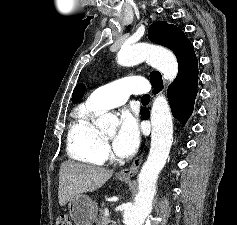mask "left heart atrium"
<instances>
[{"mask_svg":"<svg viewBox=\"0 0 237 225\" xmlns=\"http://www.w3.org/2000/svg\"><path fill=\"white\" fill-rule=\"evenodd\" d=\"M140 131L138 120L129 112H123L119 129L113 139L114 152L120 157H129L138 148Z\"/></svg>","mask_w":237,"mask_h":225,"instance_id":"left-heart-atrium-1","label":"left heart atrium"}]
</instances>
